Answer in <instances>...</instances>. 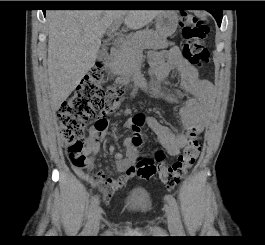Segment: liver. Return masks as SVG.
Masks as SVG:
<instances>
[{"label":"liver","instance_id":"liver-1","mask_svg":"<svg viewBox=\"0 0 265 245\" xmlns=\"http://www.w3.org/2000/svg\"><path fill=\"white\" fill-rule=\"evenodd\" d=\"M161 10H52L49 26L48 81L52 106L58 110L94 66L106 30L118 19L127 29H141Z\"/></svg>","mask_w":265,"mask_h":245}]
</instances>
